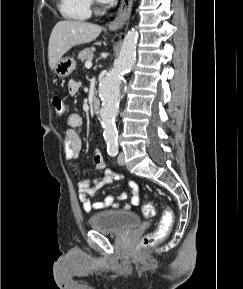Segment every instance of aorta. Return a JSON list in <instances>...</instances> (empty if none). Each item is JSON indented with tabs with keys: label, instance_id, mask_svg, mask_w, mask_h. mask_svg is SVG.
Segmentation results:
<instances>
[{
	"label": "aorta",
	"instance_id": "obj_1",
	"mask_svg": "<svg viewBox=\"0 0 243 289\" xmlns=\"http://www.w3.org/2000/svg\"><path fill=\"white\" fill-rule=\"evenodd\" d=\"M137 40L138 33L134 29L128 31L113 68L99 84V97L102 101L99 117L104 129L107 151L110 153L118 151L115 119L119 113L122 77L135 64Z\"/></svg>",
	"mask_w": 243,
	"mask_h": 289
}]
</instances>
